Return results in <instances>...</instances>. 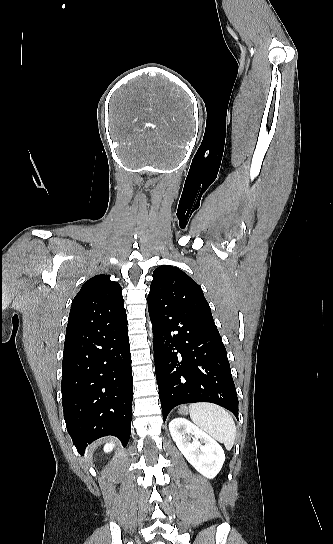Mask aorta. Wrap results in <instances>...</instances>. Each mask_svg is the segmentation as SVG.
<instances>
[{"label":"aorta","mask_w":333,"mask_h":544,"mask_svg":"<svg viewBox=\"0 0 333 544\" xmlns=\"http://www.w3.org/2000/svg\"><path fill=\"white\" fill-rule=\"evenodd\" d=\"M150 337L152 338V333H151V329H152V325L150 324Z\"/></svg>","instance_id":"762f6f07"}]
</instances>
